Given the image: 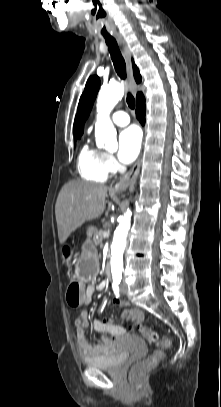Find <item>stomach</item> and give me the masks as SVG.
<instances>
[{
  "mask_svg": "<svg viewBox=\"0 0 221 407\" xmlns=\"http://www.w3.org/2000/svg\"><path fill=\"white\" fill-rule=\"evenodd\" d=\"M98 267L96 254L91 249L83 248L75 261V273L77 278L86 282L91 280Z\"/></svg>",
  "mask_w": 221,
  "mask_h": 407,
  "instance_id": "stomach-1",
  "label": "stomach"
}]
</instances>
